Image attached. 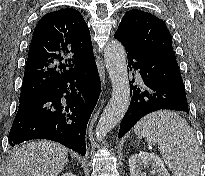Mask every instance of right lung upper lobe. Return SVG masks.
<instances>
[{
	"label": "right lung upper lobe",
	"instance_id": "right-lung-upper-lobe-1",
	"mask_svg": "<svg viewBox=\"0 0 205 176\" xmlns=\"http://www.w3.org/2000/svg\"><path fill=\"white\" fill-rule=\"evenodd\" d=\"M92 51L90 31L78 11L65 8L43 16L29 46L20 100L93 58Z\"/></svg>",
	"mask_w": 205,
	"mask_h": 176
}]
</instances>
